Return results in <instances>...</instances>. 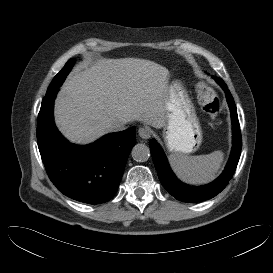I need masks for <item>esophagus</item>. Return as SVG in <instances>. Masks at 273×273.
<instances>
[{
  "mask_svg": "<svg viewBox=\"0 0 273 273\" xmlns=\"http://www.w3.org/2000/svg\"><path fill=\"white\" fill-rule=\"evenodd\" d=\"M138 134L142 139H149L151 137V131L147 127L139 128Z\"/></svg>",
  "mask_w": 273,
  "mask_h": 273,
  "instance_id": "34e87169",
  "label": "esophagus"
}]
</instances>
